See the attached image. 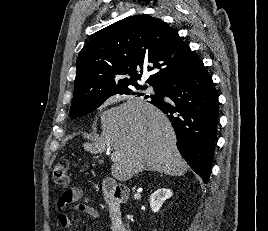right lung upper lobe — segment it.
<instances>
[{"label":"right lung upper lobe","mask_w":268,"mask_h":231,"mask_svg":"<svg viewBox=\"0 0 268 231\" xmlns=\"http://www.w3.org/2000/svg\"><path fill=\"white\" fill-rule=\"evenodd\" d=\"M200 64L177 31L161 19L127 17L96 32L81 50L72 103L89 104L120 89L139 86L146 68L153 71L149 85L160 87Z\"/></svg>","instance_id":"1"}]
</instances>
